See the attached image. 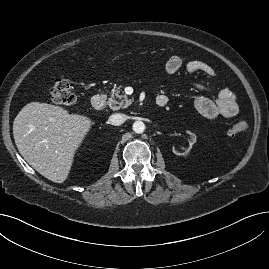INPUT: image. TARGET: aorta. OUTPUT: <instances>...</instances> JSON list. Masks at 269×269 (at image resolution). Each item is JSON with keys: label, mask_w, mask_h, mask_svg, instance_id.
Masks as SVG:
<instances>
[{"label": "aorta", "mask_w": 269, "mask_h": 269, "mask_svg": "<svg viewBox=\"0 0 269 269\" xmlns=\"http://www.w3.org/2000/svg\"><path fill=\"white\" fill-rule=\"evenodd\" d=\"M133 131L135 133H143L145 131V124L142 121H135L133 123Z\"/></svg>", "instance_id": "762f6f07"}]
</instances>
